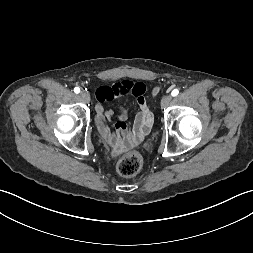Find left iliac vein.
Here are the masks:
<instances>
[{"mask_svg": "<svg viewBox=\"0 0 253 253\" xmlns=\"http://www.w3.org/2000/svg\"><path fill=\"white\" fill-rule=\"evenodd\" d=\"M171 101H172V96L166 95L161 100V106L167 107L171 103Z\"/></svg>", "mask_w": 253, "mask_h": 253, "instance_id": "1", "label": "left iliac vein"}]
</instances>
